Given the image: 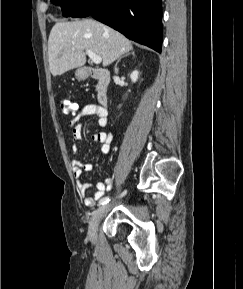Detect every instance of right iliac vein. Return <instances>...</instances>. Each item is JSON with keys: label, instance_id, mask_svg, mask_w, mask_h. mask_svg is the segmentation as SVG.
Listing matches in <instances>:
<instances>
[{"label": "right iliac vein", "instance_id": "63e3f726", "mask_svg": "<svg viewBox=\"0 0 243 289\" xmlns=\"http://www.w3.org/2000/svg\"><path fill=\"white\" fill-rule=\"evenodd\" d=\"M107 208H108L107 205L100 206L94 212V214L90 220L89 228H88V235L92 240H94L97 236V230H98L99 222H100L101 218L103 217V215L105 214V212L107 211Z\"/></svg>", "mask_w": 243, "mask_h": 289}]
</instances>
